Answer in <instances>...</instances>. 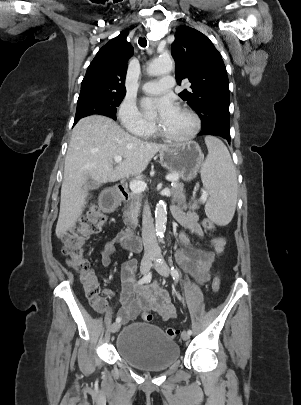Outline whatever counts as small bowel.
Wrapping results in <instances>:
<instances>
[{"instance_id": "1", "label": "small bowel", "mask_w": 301, "mask_h": 405, "mask_svg": "<svg viewBox=\"0 0 301 405\" xmlns=\"http://www.w3.org/2000/svg\"><path fill=\"white\" fill-rule=\"evenodd\" d=\"M172 212L183 229L179 234L182 248L178 254V262L199 284H205L211 278L215 258L223 252L226 241L223 237H214L211 240L212 251L196 248L185 230L198 237H204V230L199 224L197 213L193 210H185L179 205H174ZM123 235L122 230L104 244L100 251V262L103 267H108L111 264V258L115 254L117 247L119 245L123 246ZM135 267L136 263L133 260L122 264V289L119 294L118 317L121 318L123 323L134 320L141 312H153L162 320L174 318L177 315V309L169 293L160 287L157 282L134 287ZM105 294L112 296L113 292L106 290Z\"/></svg>"}]
</instances>
